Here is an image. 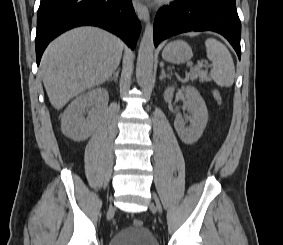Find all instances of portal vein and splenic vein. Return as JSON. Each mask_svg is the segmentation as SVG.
I'll return each instance as SVG.
<instances>
[{"label": "portal vein and splenic vein", "instance_id": "18ae733b", "mask_svg": "<svg viewBox=\"0 0 283 245\" xmlns=\"http://www.w3.org/2000/svg\"><path fill=\"white\" fill-rule=\"evenodd\" d=\"M203 67H204V64L202 62H198V64L193 69L199 70V69H201ZM190 70H192V69H190Z\"/></svg>", "mask_w": 283, "mask_h": 245}]
</instances>
